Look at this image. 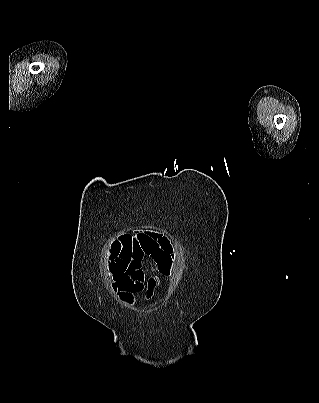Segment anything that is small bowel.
<instances>
[{
	"mask_svg": "<svg viewBox=\"0 0 319 403\" xmlns=\"http://www.w3.org/2000/svg\"><path fill=\"white\" fill-rule=\"evenodd\" d=\"M111 244L113 246H106L108 258L105 267L113 287L129 303H133L135 295L144 289L151 295L157 287V280L150 278L145 284L143 259H150L161 274H166L172 263L169 239L159 232L146 231L135 236L112 238Z\"/></svg>",
	"mask_w": 319,
	"mask_h": 403,
	"instance_id": "obj_1",
	"label": "small bowel"
}]
</instances>
